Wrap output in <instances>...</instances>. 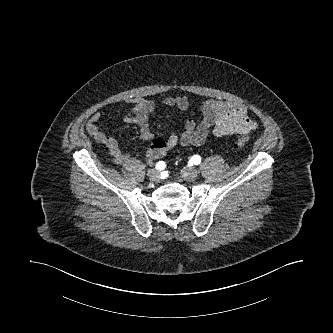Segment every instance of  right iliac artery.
Listing matches in <instances>:
<instances>
[{
  "instance_id": "1",
  "label": "right iliac artery",
  "mask_w": 333,
  "mask_h": 333,
  "mask_svg": "<svg viewBox=\"0 0 333 333\" xmlns=\"http://www.w3.org/2000/svg\"><path fill=\"white\" fill-rule=\"evenodd\" d=\"M155 167H156V169L161 170V169H163L164 164H163V162H158Z\"/></svg>"
}]
</instances>
